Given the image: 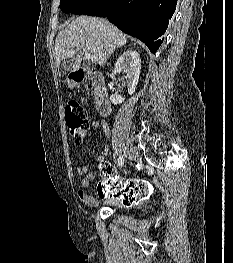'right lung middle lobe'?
I'll list each match as a JSON object with an SVG mask.
<instances>
[{
    "label": "right lung middle lobe",
    "instance_id": "obj_1",
    "mask_svg": "<svg viewBox=\"0 0 233 263\" xmlns=\"http://www.w3.org/2000/svg\"><path fill=\"white\" fill-rule=\"evenodd\" d=\"M100 0H60V8L65 13L88 14Z\"/></svg>",
    "mask_w": 233,
    "mask_h": 263
}]
</instances>
